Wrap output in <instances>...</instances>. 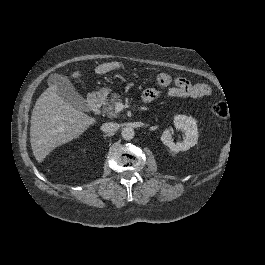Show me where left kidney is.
<instances>
[{
	"label": "left kidney",
	"instance_id": "5707ae66",
	"mask_svg": "<svg viewBox=\"0 0 265 265\" xmlns=\"http://www.w3.org/2000/svg\"><path fill=\"white\" fill-rule=\"evenodd\" d=\"M174 125L177 129L185 133L183 142L174 143L169 129H166L161 136V141L168 146L172 152L186 151L197 144L199 137L197 121L193 117L176 115L174 117Z\"/></svg>",
	"mask_w": 265,
	"mask_h": 265
}]
</instances>
